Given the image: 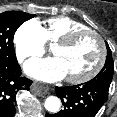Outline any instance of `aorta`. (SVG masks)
I'll use <instances>...</instances> for the list:
<instances>
[{"mask_svg":"<svg viewBox=\"0 0 117 117\" xmlns=\"http://www.w3.org/2000/svg\"><path fill=\"white\" fill-rule=\"evenodd\" d=\"M61 106V101L58 97L56 96H49L45 100L44 107L47 111L51 113H56Z\"/></svg>","mask_w":117,"mask_h":117,"instance_id":"obj_1","label":"aorta"}]
</instances>
